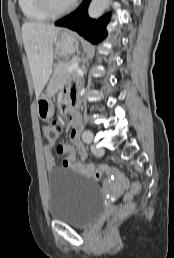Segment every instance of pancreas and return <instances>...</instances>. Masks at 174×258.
<instances>
[{
  "mask_svg": "<svg viewBox=\"0 0 174 258\" xmlns=\"http://www.w3.org/2000/svg\"><path fill=\"white\" fill-rule=\"evenodd\" d=\"M76 60L69 61V62H59L54 70L53 74V82L51 91L56 90L58 86L63 84L73 73L67 72L66 69L68 66L74 64Z\"/></svg>",
  "mask_w": 174,
  "mask_h": 258,
  "instance_id": "1",
  "label": "pancreas"
}]
</instances>
